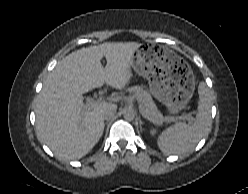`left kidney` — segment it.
Segmentation results:
<instances>
[{
    "instance_id": "left-kidney-1",
    "label": "left kidney",
    "mask_w": 248,
    "mask_h": 194,
    "mask_svg": "<svg viewBox=\"0 0 248 194\" xmlns=\"http://www.w3.org/2000/svg\"><path fill=\"white\" fill-rule=\"evenodd\" d=\"M155 133H156V130H154V129L150 131V134L153 136L155 135Z\"/></svg>"
}]
</instances>
